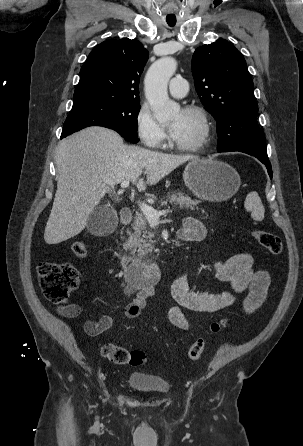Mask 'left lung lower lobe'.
I'll use <instances>...</instances> for the list:
<instances>
[{"instance_id": "0a47b994", "label": "left lung lower lobe", "mask_w": 303, "mask_h": 446, "mask_svg": "<svg viewBox=\"0 0 303 446\" xmlns=\"http://www.w3.org/2000/svg\"><path fill=\"white\" fill-rule=\"evenodd\" d=\"M243 153L255 156L259 161H261L266 166L270 178H272V169H271V164L268 160V157H262V156L255 155V154L249 153V152H243Z\"/></svg>"}]
</instances>
